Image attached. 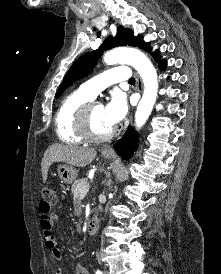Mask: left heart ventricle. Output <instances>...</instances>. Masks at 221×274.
<instances>
[{"label":"left heart ventricle","instance_id":"obj_1","mask_svg":"<svg viewBox=\"0 0 221 274\" xmlns=\"http://www.w3.org/2000/svg\"><path fill=\"white\" fill-rule=\"evenodd\" d=\"M91 123L96 133L104 134L111 130L105 125L104 107L101 104L93 107L91 112Z\"/></svg>","mask_w":221,"mask_h":274}]
</instances>
